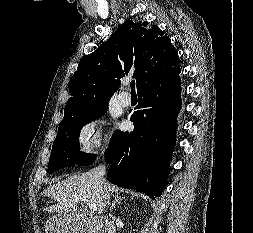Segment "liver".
<instances>
[{
	"label": "liver",
	"instance_id": "6515ba94",
	"mask_svg": "<svg viewBox=\"0 0 253 233\" xmlns=\"http://www.w3.org/2000/svg\"><path fill=\"white\" fill-rule=\"evenodd\" d=\"M104 185L98 183L92 172H84L70 176L66 180L53 184L44 190L45 197H51L58 203L45 208L49 213L58 212L59 214L75 213L77 216V206L80 203L96 204L99 214L101 215L106 207L107 192L111 196H118L119 188L106 182Z\"/></svg>",
	"mask_w": 253,
	"mask_h": 233
}]
</instances>
